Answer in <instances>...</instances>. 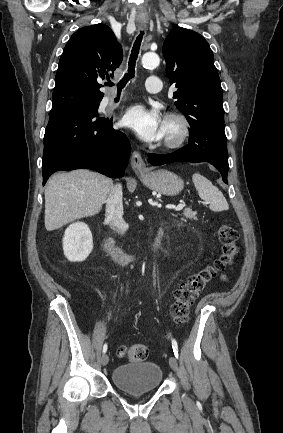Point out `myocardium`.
Wrapping results in <instances>:
<instances>
[{
	"instance_id": "myocardium-1",
	"label": "myocardium",
	"mask_w": 283,
	"mask_h": 433,
	"mask_svg": "<svg viewBox=\"0 0 283 433\" xmlns=\"http://www.w3.org/2000/svg\"><path fill=\"white\" fill-rule=\"evenodd\" d=\"M164 120L175 121L179 125V131L176 135L165 136L162 152L165 154L175 153L181 150L192 134V123L189 117L179 111H170L166 113Z\"/></svg>"
}]
</instances>
